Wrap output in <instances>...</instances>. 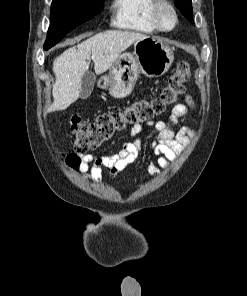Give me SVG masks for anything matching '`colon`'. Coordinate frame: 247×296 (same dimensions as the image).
I'll return each mask as SVG.
<instances>
[{"label":"colon","mask_w":247,"mask_h":296,"mask_svg":"<svg viewBox=\"0 0 247 296\" xmlns=\"http://www.w3.org/2000/svg\"><path fill=\"white\" fill-rule=\"evenodd\" d=\"M189 77V64L183 61L169 76L166 85L151 99L136 101L125 108L112 107L93 122H85L74 115L71 118L70 131L74 137L75 150L66 157L68 166L71 169L78 168L80 156L84 153L97 149L127 126L150 120L165 112L184 93Z\"/></svg>","instance_id":"obj_1"}]
</instances>
